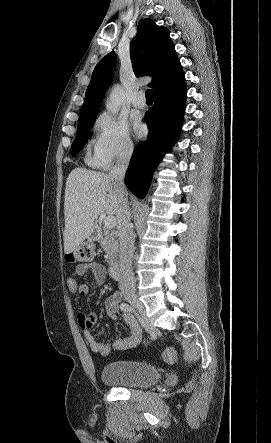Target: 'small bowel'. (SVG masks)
Segmentation results:
<instances>
[{
    "label": "small bowel",
    "mask_w": 271,
    "mask_h": 443,
    "mask_svg": "<svg viewBox=\"0 0 271 443\" xmlns=\"http://www.w3.org/2000/svg\"><path fill=\"white\" fill-rule=\"evenodd\" d=\"M88 272H92L93 277L97 284H101L106 276V270L103 264L99 262L83 263L76 269V276L81 277ZM67 286L71 292H77L78 286L74 278L67 280ZM120 295L115 292L105 300V308L107 313L113 319H117L119 312ZM122 320L128 326V335L122 338H116L110 342L102 341L98 339L92 332L97 318L93 313L84 314L79 313L77 321L80 328L83 330L84 338L90 347V349L100 355H109L112 352L124 351L137 346L141 340V332L136 319L129 313L122 314Z\"/></svg>",
    "instance_id": "obj_1"
}]
</instances>
